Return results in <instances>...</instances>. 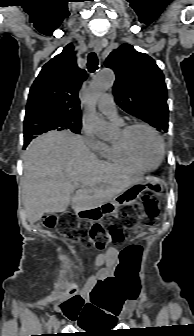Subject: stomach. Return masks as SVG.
I'll return each instance as SVG.
<instances>
[{"instance_id": "0dacf381", "label": "stomach", "mask_w": 194, "mask_h": 336, "mask_svg": "<svg viewBox=\"0 0 194 336\" xmlns=\"http://www.w3.org/2000/svg\"><path fill=\"white\" fill-rule=\"evenodd\" d=\"M162 188L163 186L158 179L146 178L140 183L131 186L126 191L119 194L112 201L103 203L94 208L79 210L76 212V215L79 219H85L91 222L99 221L105 215L115 214L120 205H128L134 203L143 191L150 190L157 194H160Z\"/></svg>"}]
</instances>
